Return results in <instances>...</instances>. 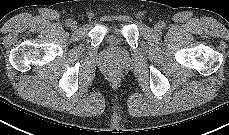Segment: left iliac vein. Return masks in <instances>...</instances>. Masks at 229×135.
Here are the masks:
<instances>
[{
  "mask_svg": "<svg viewBox=\"0 0 229 135\" xmlns=\"http://www.w3.org/2000/svg\"><path fill=\"white\" fill-rule=\"evenodd\" d=\"M154 28L156 31H160L162 27H161V24L158 23L154 26Z\"/></svg>",
  "mask_w": 229,
  "mask_h": 135,
  "instance_id": "obj_1",
  "label": "left iliac vein"
}]
</instances>
